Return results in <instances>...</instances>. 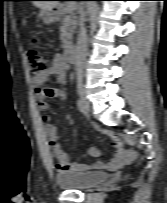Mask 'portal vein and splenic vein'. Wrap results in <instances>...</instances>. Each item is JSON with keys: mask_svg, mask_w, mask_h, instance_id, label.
<instances>
[{"mask_svg": "<svg viewBox=\"0 0 167 203\" xmlns=\"http://www.w3.org/2000/svg\"><path fill=\"white\" fill-rule=\"evenodd\" d=\"M67 10H68V11H71V12L74 11V10H75L74 4H68V5H67Z\"/></svg>", "mask_w": 167, "mask_h": 203, "instance_id": "1", "label": "portal vein and splenic vein"}]
</instances>
